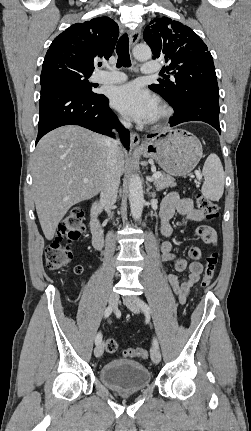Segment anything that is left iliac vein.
<instances>
[{"instance_id": "obj_1", "label": "left iliac vein", "mask_w": 251, "mask_h": 431, "mask_svg": "<svg viewBox=\"0 0 251 431\" xmlns=\"http://www.w3.org/2000/svg\"><path fill=\"white\" fill-rule=\"evenodd\" d=\"M125 305L134 313H140V300L136 296H129L124 299ZM151 359L155 364H158L161 360V353L155 344L151 348Z\"/></svg>"}]
</instances>
